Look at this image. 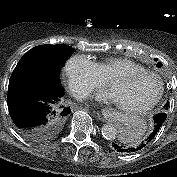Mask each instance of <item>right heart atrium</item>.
Instances as JSON below:
<instances>
[{
	"label": "right heart atrium",
	"mask_w": 177,
	"mask_h": 177,
	"mask_svg": "<svg viewBox=\"0 0 177 177\" xmlns=\"http://www.w3.org/2000/svg\"><path fill=\"white\" fill-rule=\"evenodd\" d=\"M65 74L72 93L83 98L102 87L105 79L97 65L85 55H74L65 64Z\"/></svg>",
	"instance_id": "1"
}]
</instances>
